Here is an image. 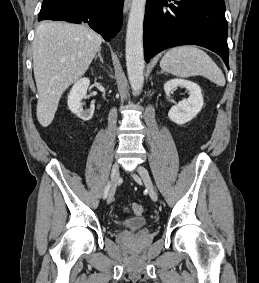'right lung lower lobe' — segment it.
Wrapping results in <instances>:
<instances>
[{"instance_id":"obj_1","label":"right lung lower lobe","mask_w":259,"mask_h":283,"mask_svg":"<svg viewBox=\"0 0 259 283\" xmlns=\"http://www.w3.org/2000/svg\"><path fill=\"white\" fill-rule=\"evenodd\" d=\"M124 0H43L38 20L87 23L110 41L122 26Z\"/></svg>"}]
</instances>
